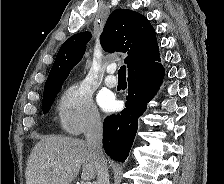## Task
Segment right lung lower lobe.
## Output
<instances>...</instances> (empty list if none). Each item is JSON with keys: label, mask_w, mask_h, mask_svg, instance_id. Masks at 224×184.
<instances>
[{"label": "right lung lower lobe", "mask_w": 224, "mask_h": 184, "mask_svg": "<svg viewBox=\"0 0 224 184\" xmlns=\"http://www.w3.org/2000/svg\"><path fill=\"white\" fill-rule=\"evenodd\" d=\"M164 77V68L158 63L128 76L126 108L118 115H111L103 123V147L112 159L124 162L134 141L138 117L145 109Z\"/></svg>", "instance_id": "1"}]
</instances>
